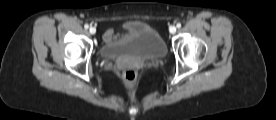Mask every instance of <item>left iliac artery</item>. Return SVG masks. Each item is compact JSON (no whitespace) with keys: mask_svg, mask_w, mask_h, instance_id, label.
Instances as JSON below:
<instances>
[{"mask_svg":"<svg viewBox=\"0 0 276 120\" xmlns=\"http://www.w3.org/2000/svg\"><path fill=\"white\" fill-rule=\"evenodd\" d=\"M177 28H180L181 27V23H177Z\"/></svg>","mask_w":276,"mask_h":120,"instance_id":"44dca946","label":"left iliac artery"}]
</instances>
